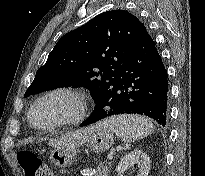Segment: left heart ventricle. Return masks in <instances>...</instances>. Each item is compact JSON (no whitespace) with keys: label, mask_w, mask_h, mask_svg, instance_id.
I'll return each mask as SVG.
<instances>
[{"label":"left heart ventricle","mask_w":205,"mask_h":176,"mask_svg":"<svg viewBox=\"0 0 205 176\" xmlns=\"http://www.w3.org/2000/svg\"><path fill=\"white\" fill-rule=\"evenodd\" d=\"M73 103L65 97H53L41 103L33 114V122L38 126L51 125L71 114Z\"/></svg>","instance_id":"obj_1"}]
</instances>
